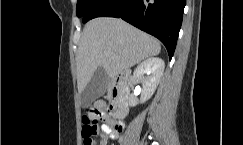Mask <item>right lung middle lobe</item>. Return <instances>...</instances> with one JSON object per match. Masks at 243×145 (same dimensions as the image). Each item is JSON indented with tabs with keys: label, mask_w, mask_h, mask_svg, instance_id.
Wrapping results in <instances>:
<instances>
[{
	"label": "right lung middle lobe",
	"mask_w": 243,
	"mask_h": 145,
	"mask_svg": "<svg viewBox=\"0 0 243 145\" xmlns=\"http://www.w3.org/2000/svg\"><path fill=\"white\" fill-rule=\"evenodd\" d=\"M96 0H78L76 7V15L80 18L83 17L87 9L94 3Z\"/></svg>",
	"instance_id": "obj_1"
}]
</instances>
